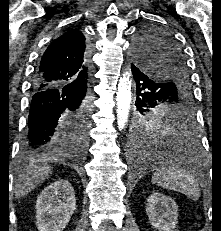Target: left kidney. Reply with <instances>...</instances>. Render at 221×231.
Returning <instances> with one entry per match:
<instances>
[{
  "label": "left kidney",
  "mask_w": 221,
  "mask_h": 231,
  "mask_svg": "<svg viewBox=\"0 0 221 231\" xmlns=\"http://www.w3.org/2000/svg\"><path fill=\"white\" fill-rule=\"evenodd\" d=\"M146 212L152 227L158 231H176L178 206L164 194L153 193L147 199Z\"/></svg>",
  "instance_id": "obj_1"
}]
</instances>
